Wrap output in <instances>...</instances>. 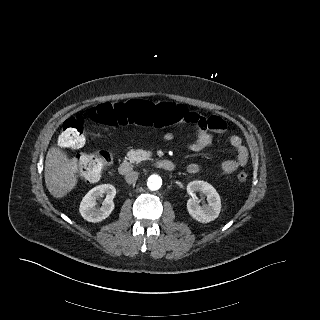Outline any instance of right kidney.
<instances>
[{
  "instance_id": "right-kidney-1",
  "label": "right kidney",
  "mask_w": 320,
  "mask_h": 320,
  "mask_svg": "<svg viewBox=\"0 0 320 320\" xmlns=\"http://www.w3.org/2000/svg\"><path fill=\"white\" fill-rule=\"evenodd\" d=\"M103 194L106 195L101 207H97V199ZM116 189L111 184H103L91 189L82 199L79 207L81 216L89 222H101L113 211L115 205L113 199Z\"/></svg>"
}]
</instances>
